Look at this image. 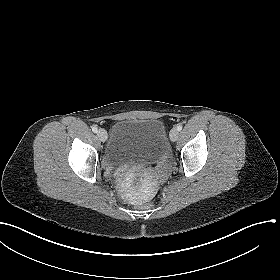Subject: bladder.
<instances>
[{"label": "bladder", "mask_w": 280, "mask_h": 280, "mask_svg": "<svg viewBox=\"0 0 280 280\" xmlns=\"http://www.w3.org/2000/svg\"><path fill=\"white\" fill-rule=\"evenodd\" d=\"M166 128L160 119L130 117L114 123L106 155L115 161L153 163L168 153Z\"/></svg>", "instance_id": "obj_1"}]
</instances>
